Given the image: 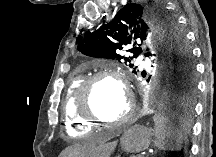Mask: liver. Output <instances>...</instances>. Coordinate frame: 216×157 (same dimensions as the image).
Wrapping results in <instances>:
<instances>
[{
  "mask_svg": "<svg viewBox=\"0 0 216 157\" xmlns=\"http://www.w3.org/2000/svg\"><path fill=\"white\" fill-rule=\"evenodd\" d=\"M109 155V145L100 142H86L66 148L60 157H106Z\"/></svg>",
  "mask_w": 216,
  "mask_h": 157,
  "instance_id": "1",
  "label": "liver"
}]
</instances>
